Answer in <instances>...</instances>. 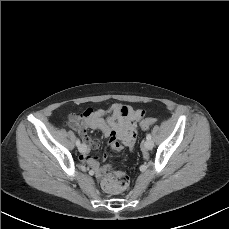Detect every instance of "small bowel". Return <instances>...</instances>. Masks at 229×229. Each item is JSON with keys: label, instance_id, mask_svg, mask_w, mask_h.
Segmentation results:
<instances>
[{"label": "small bowel", "instance_id": "obj_1", "mask_svg": "<svg viewBox=\"0 0 229 229\" xmlns=\"http://www.w3.org/2000/svg\"><path fill=\"white\" fill-rule=\"evenodd\" d=\"M140 112V110L129 106L113 104L108 111L86 109L81 113L70 115L67 120L68 124L81 136L84 142L85 148L81 152L82 161L96 171L100 169L99 160L88 155L90 149H96L99 146L98 141L88 136L89 129L99 130L106 137L115 132L117 138L110 142V148L113 151H120L123 145L132 148L135 140L133 134H135V129L140 121ZM107 113H109L108 116ZM103 159L108 161V156L104 155Z\"/></svg>", "mask_w": 229, "mask_h": 229}]
</instances>
